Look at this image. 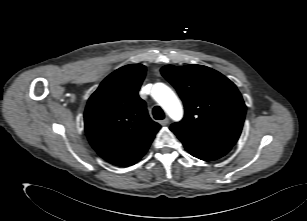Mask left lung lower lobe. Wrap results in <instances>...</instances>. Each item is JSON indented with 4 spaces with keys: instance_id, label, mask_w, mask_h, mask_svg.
<instances>
[{
    "instance_id": "left-lung-lower-lobe-1",
    "label": "left lung lower lobe",
    "mask_w": 307,
    "mask_h": 221,
    "mask_svg": "<svg viewBox=\"0 0 307 221\" xmlns=\"http://www.w3.org/2000/svg\"><path fill=\"white\" fill-rule=\"evenodd\" d=\"M185 149L194 157L205 161L216 160L227 154L231 147L208 145L191 140L181 139Z\"/></svg>"
}]
</instances>
